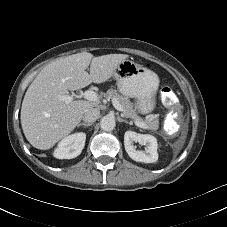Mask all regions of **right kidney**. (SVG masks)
Instances as JSON below:
<instances>
[{
	"label": "right kidney",
	"instance_id": "obj_1",
	"mask_svg": "<svg viewBox=\"0 0 227 227\" xmlns=\"http://www.w3.org/2000/svg\"><path fill=\"white\" fill-rule=\"evenodd\" d=\"M86 134L83 132L71 134L63 138L53 155L58 159H72L81 154L85 146Z\"/></svg>",
	"mask_w": 227,
	"mask_h": 227
}]
</instances>
